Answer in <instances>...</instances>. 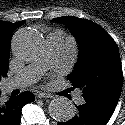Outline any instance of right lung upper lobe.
Masks as SVG:
<instances>
[{
	"label": "right lung upper lobe",
	"instance_id": "right-lung-upper-lobe-1",
	"mask_svg": "<svg viewBox=\"0 0 125 125\" xmlns=\"http://www.w3.org/2000/svg\"><path fill=\"white\" fill-rule=\"evenodd\" d=\"M25 21L21 22H5L0 20V80L1 77L7 76L8 62L10 58V37L12 32L24 24Z\"/></svg>",
	"mask_w": 125,
	"mask_h": 125
}]
</instances>
